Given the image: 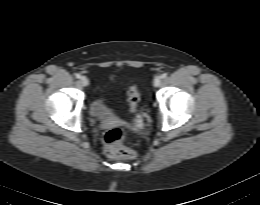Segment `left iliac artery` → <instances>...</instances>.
Instances as JSON below:
<instances>
[{"label": "left iliac artery", "instance_id": "44dca946", "mask_svg": "<svg viewBox=\"0 0 260 205\" xmlns=\"http://www.w3.org/2000/svg\"><path fill=\"white\" fill-rule=\"evenodd\" d=\"M167 77V74L166 73H163L162 75H161V78H163V79H165Z\"/></svg>", "mask_w": 260, "mask_h": 205}]
</instances>
